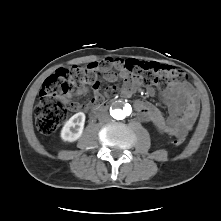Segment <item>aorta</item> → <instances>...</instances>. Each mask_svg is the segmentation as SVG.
Here are the masks:
<instances>
[{
  "instance_id": "obj_1",
  "label": "aorta",
  "mask_w": 221,
  "mask_h": 221,
  "mask_svg": "<svg viewBox=\"0 0 221 221\" xmlns=\"http://www.w3.org/2000/svg\"><path fill=\"white\" fill-rule=\"evenodd\" d=\"M126 115V111L121 104L114 106L113 110H111V116L116 120H123Z\"/></svg>"
}]
</instances>
